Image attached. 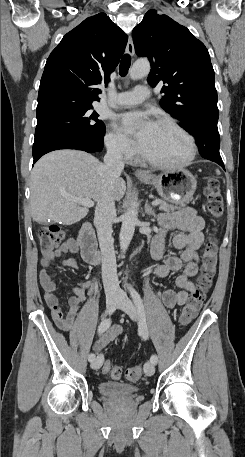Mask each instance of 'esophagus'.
I'll use <instances>...</instances> for the list:
<instances>
[{"mask_svg": "<svg viewBox=\"0 0 245 457\" xmlns=\"http://www.w3.org/2000/svg\"><path fill=\"white\" fill-rule=\"evenodd\" d=\"M126 52L131 56L134 55V44H133V41H132L131 37H129V39H128V43H127V46H126ZM135 175L136 176H143V177L150 176V174L148 172H145L144 170H136Z\"/></svg>", "mask_w": 245, "mask_h": 457, "instance_id": "1", "label": "esophagus"}]
</instances>
